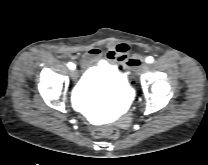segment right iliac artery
I'll list each match as a JSON object with an SVG mask.
<instances>
[{"label": "right iliac artery", "mask_w": 208, "mask_h": 165, "mask_svg": "<svg viewBox=\"0 0 208 165\" xmlns=\"http://www.w3.org/2000/svg\"><path fill=\"white\" fill-rule=\"evenodd\" d=\"M68 67L71 69V70H73V69H75L76 68V66H75V64H73V63H68Z\"/></svg>", "instance_id": "82829eb1"}]
</instances>
